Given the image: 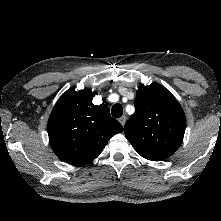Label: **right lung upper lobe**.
Wrapping results in <instances>:
<instances>
[{
    "instance_id": "right-lung-upper-lobe-1",
    "label": "right lung upper lobe",
    "mask_w": 221,
    "mask_h": 221,
    "mask_svg": "<svg viewBox=\"0 0 221 221\" xmlns=\"http://www.w3.org/2000/svg\"><path fill=\"white\" fill-rule=\"evenodd\" d=\"M90 89L65 92L48 120V135L55 154L69 164L95 159L112 136L123 131L105 105H94Z\"/></svg>"
}]
</instances>
